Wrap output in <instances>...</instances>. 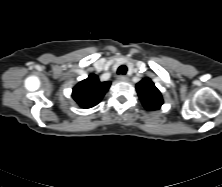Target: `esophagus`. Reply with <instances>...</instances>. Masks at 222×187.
<instances>
[{"label":"esophagus","mask_w":222,"mask_h":187,"mask_svg":"<svg viewBox=\"0 0 222 187\" xmlns=\"http://www.w3.org/2000/svg\"><path fill=\"white\" fill-rule=\"evenodd\" d=\"M117 80L120 81V82H125L128 80V77L127 76H123V75H120L117 77Z\"/></svg>","instance_id":"obj_1"}]
</instances>
